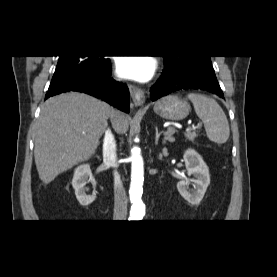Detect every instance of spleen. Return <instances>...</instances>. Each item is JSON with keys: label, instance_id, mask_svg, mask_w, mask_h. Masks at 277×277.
<instances>
[{"label": "spleen", "instance_id": "spleen-1", "mask_svg": "<svg viewBox=\"0 0 277 277\" xmlns=\"http://www.w3.org/2000/svg\"><path fill=\"white\" fill-rule=\"evenodd\" d=\"M187 97L202 120L209 140L217 144L225 143L229 138L230 129L220 105L214 99L201 94L190 93Z\"/></svg>", "mask_w": 277, "mask_h": 277}]
</instances>
